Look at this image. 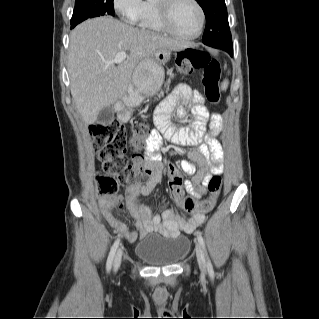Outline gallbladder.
Returning a JSON list of instances; mask_svg holds the SVG:
<instances>
[{"label":"gallbladder","mask_w":319,"mask_h":319,"mask_svg":"<svg viewBox=\"0 0 319 319\" xmlns=\"http://www.w3.org/2000/svg\"><path fill=\"white\" fill-rule=\"evenodd\" d=\"M113 117H114L113 106L105 107L104 109L100 111L96 122L100 124L109 123L112 121Z\"/></svg>","instance_id":"1"}]
</instances>
